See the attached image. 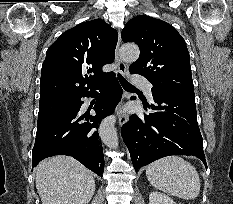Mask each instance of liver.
<instances>
[{"label": "liver", "mask_w": 233, "mask_h": 204, "mask_svg": "<svg viewBox=\"0 0 233 204\" xmlns=\"http://www.w3.org/2000/svg\"><path fill=\"white\" fill-rule=\"evenodd\" d=\"M36 189L42 204H88L95 181L91 171L77 160L58 155L36 167Z\"/></svg>", "instance_id": "obj_1"}]
</instances>
